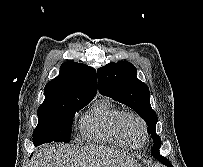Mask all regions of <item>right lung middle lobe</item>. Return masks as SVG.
Wrapping results in <instances>:
<instances>
[{
  "mask_svg": "<svg viewBox=\"0 0 203 167\" xmlns=\"http://www.w3.org/2000/svg\"><path fill=\"white\" fill-rule=\"evenodd\" d=\"M92 99L71 100L52 108L38 109V125L33 132V143L38 146L48 142L68 143L73 117Z\"/></svg>",
  "mask_w": 203,
  "mask_h": 167,
  "instance_id": "right-lung-middle-lobe-1",
  "label": "right lung middle lobe"
}]
</instances>
